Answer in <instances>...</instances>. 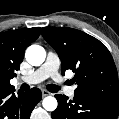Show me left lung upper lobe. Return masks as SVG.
Segmentation results:
<instances>
[{"label":"left lung upper lobe","mask_w":119,"mask_h":119,"mask_svg":"<svg viewBox=\"0 0 119 119\" xmlns=\"http://www.w3.org/2000/svg\"><path fill=\"white\" fill-rule=\"evenodd\" d=\"M42 36L56 50L62 73L68 69L75 73V93L119 101L117 69L99 40L73 28L44 27Z\"/></svg>","instance_id":"1"}]
</instances>
